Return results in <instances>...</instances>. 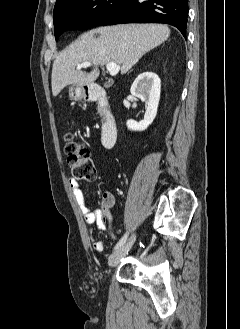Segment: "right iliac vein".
<instances>
[{
  "instance_id": "63e3f726",
  "label": "right iliac vein",
  "mask_w": 240,
  "mask_h": 329,
  "mask_svg": "<svg viewBox=\"0 0 240 329\" xmlns=\"http://www.w3.org/2000/svg\"><path fill=\"white\" fill-rule=\"evenodd\" d=\"M135 234H133L130 239L128 240V242L123 245L122 247H120L118 250H116L110 257L108 260V264L110 266H115L116 264L119 263V261L126 255V253L131 249L132 245L134 244L135 241Z\"/></svg>"
}]
</instances>
